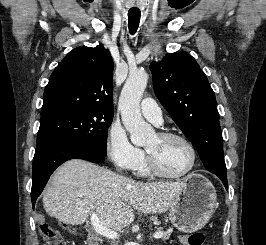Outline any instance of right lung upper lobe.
Returning <instances> with one entry per match:
<instances>
[{
    "label": "right lung upper lobe",
    "instance_id": "right-lung-upper-lobe-1",
    "mask_svg": "<svg viewBox=\"0 0 266 245\" xmlns=\"http://www.w3.org/2000/svg\"><path fill=\"white\" fill-rule=\"evenodd\" d=\"M113 66L110 52L102 45L73 49L55 68L45 87L41 120L87 107L114 112Z\"/></svg>",
    "mask_w": 266,
    "mask_h": 245
}]
</instances>
